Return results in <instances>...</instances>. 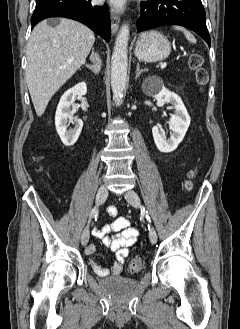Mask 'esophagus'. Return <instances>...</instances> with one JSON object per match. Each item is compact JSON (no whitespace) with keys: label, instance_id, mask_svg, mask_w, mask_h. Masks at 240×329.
Listing matches in <instances>:
<instances>
[{"label":"esophagus","instance_id":"1","mask_svg":"<svg viewBox=\"0 0 240 329\" xmlns=\"http://www.w3.org/2000/svg\"><path fill=\"white\" fill-rule=\"evenodd\" d=\"M120 18L115 10L111 11V29L113 33H116L119 28Z\"/></svg>","mask_w":240,"mask_h":329}]
</instances>
